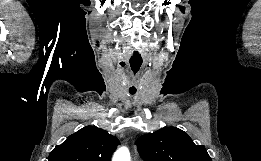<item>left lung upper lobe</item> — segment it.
<instances>
[{"label":"left lung upper lobe","mask_w":261,"mask_h":161,"mask_svg":"<svg viewBox=\"0 0 261 161\" xmlns=\"http://www.w3.org/2000/svg\"><path fill=\"white\" fill-rule=\"evenodd\" d=\"M145 161H212L203 145L176 127H165L139 137L135 143Z\"/></svg>","instance_id":"left-lung-upper-lobe-1"}]
</instances>
